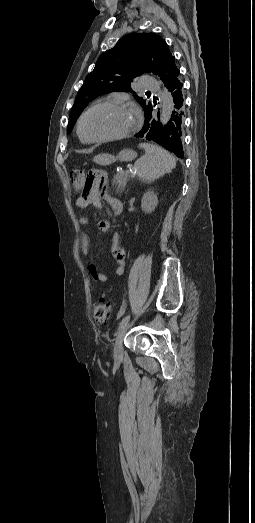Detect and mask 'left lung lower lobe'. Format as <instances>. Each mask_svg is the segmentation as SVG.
<instances>
[{
    "label": "left lung lower lobe",
    "mask_w": 255,
    "mask_h": 523,
    "mask_svg": "<svg viewBox=\"0 0 255 523\" xmlns=\"http://www.w3.org/2000/svg\"><path fill=\"white\" fill-rule=\"evenodd\" d=\"M186 82L181 80L179 76L173 77V81H168L166 86V94H171L172 101L174 103L173 114L171 120L167 122V126L163 128L159 122V118L155 111H150L148 125H145L140 131L137 132L139 137H144V140H152L155 146H161L168 148V151L172 154H177L179 161L184 162L186 160L184 154V140L182 137L184 121V104L186 100H183L184 92H181L180 88H184ZM146 111V110H145ZM161 122H166V117H161Z\"/></svg>",
    "instance_id": "1"
}]
</instances>
